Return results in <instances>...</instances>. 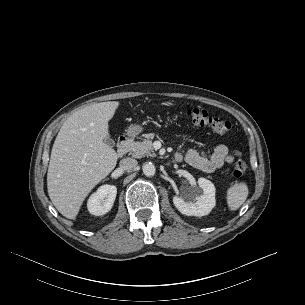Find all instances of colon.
Instances as JSON below:
<instances>
[{"label": "colon", "mask_w": 305, "mask_h": 305, "mask_svg": "<svg viewBox=\"0 0 305 305\" xmlns=\"http://www.w3.org/2000/svg\"><path fill=\"white\" fill-rule=\"evenodd\" d=\"M184 116L188 125L207 128L219 135L226 134L231 128V123L228 120L210 116L208 112L203 109H187L184 111ZM236 157L233 175L236 178H241L246 172L247 164L239 152L236 153Z\"/></svg>", "instance_id": "1"}]
</instances>
